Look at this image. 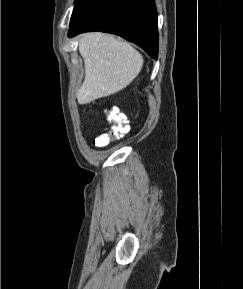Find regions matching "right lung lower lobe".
Here are the masks:
<instances>
[{"label":"right lung lower lobe","instance_id":"1","mask_svg":"<svg viewBox=\"0 0 243 289\" xmlns=\"http://www.w3.org/2000/svg\"><path fill=\"white\" fill-rule=\"evenodd\" d=\"M85 31L119 35L157 59L158 30L154 0H81L71 16L68 36Z\"/></svg>","mask_w":243,"mask_h":289}]
</instances>
